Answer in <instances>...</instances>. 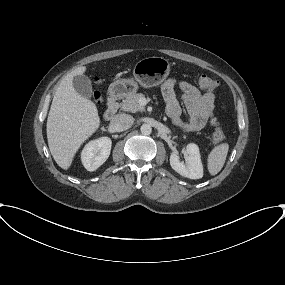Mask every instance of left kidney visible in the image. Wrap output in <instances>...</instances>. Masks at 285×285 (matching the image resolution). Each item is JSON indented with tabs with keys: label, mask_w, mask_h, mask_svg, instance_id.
<instances>
[{
	"label": "left kidney",
	"mask_w": 285,
	"mask_h": 285,
	"mask_svg": "<svg viewBox=\"0 0 285 285\" xmlns=\"http://www.w3.org/2000/svg\"><path fill=\"white\" fill-rule=\"evenodd\" d=\"M187 157L185 164L179 159V155L176 152H172L170 155V165L174 171L179 173L183 177L189 179H200L203 177V165L201 162V156L199 147L190 143L186 147Z\"/></svg>",
	"instance_id": "1"
}]
</instances>
